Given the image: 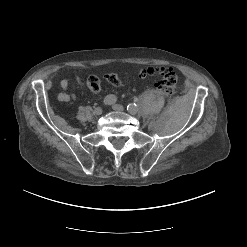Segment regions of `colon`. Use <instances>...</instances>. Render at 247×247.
<instances>
[{"label": "colon", "instance_id": "1", "mask_svg": "<svg viewBox=\"0 0 247 247\" xmlns=\"http://www.w3.org/2000/svg\"><path fill=\"white\" fill-rule=\"evenodd\" d=\"M140 73L142 76H152V75L159 76L160 79L156 83V87L165 94L173 93L178 82L177 73L172 68L169 67H164V66L145 67L141 69ZM106 80L114 85L121 84L118 76L114 73H108L106 75ZM87 85L93 93H98L101 89L100 80L95 76H92L88 79Z\"/></svg>", "mask_w": 247, "mask_h": 247}]
</instances>
